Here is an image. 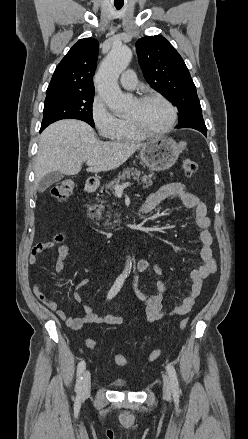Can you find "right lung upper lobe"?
I'll use <instances>...</instances> for the list:
<instances>
[{
    "label": "right lung upper lobe",
    "instance_id": "right-lung-upper-lobe-1",
    "mask_svg": "<svg viewBox=\"0 0 248 439\" xmlns=\"http://www.w3.org/2000/svg\"><path fill=\"white\" fill-rule=\"evenodd\" d=\"M99 43L94 38L79 40L57 65L46 96L65 92H94Z\"/></svg>",
    "mask_w": 248,
    "mask_h": 439
}]
</instances>
